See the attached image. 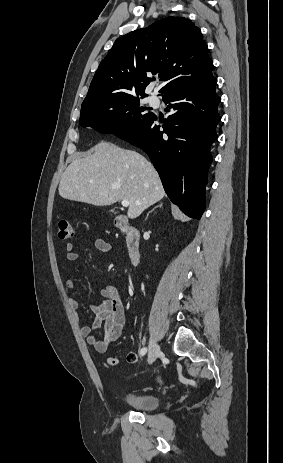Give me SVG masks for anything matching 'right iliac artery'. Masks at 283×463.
Here are the masks:
<instances>
[{
	"instance_id": "82829eb1",
	"label": "right iliac artery",
	"mask_w": 283,
	"mask_h": 463,
	"mask_svg": "<svg viewBox=\"0 0 283 463\" xmlns=\"http://www.w3.org/2000/svg\"><path fill=\"white\" fill-rule=\"evenodd\" d=\"M146 352H147V348H145V347L140 350V354L142 356H144L146 354Z\"/></svg>"
}]
</instances>
